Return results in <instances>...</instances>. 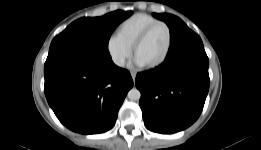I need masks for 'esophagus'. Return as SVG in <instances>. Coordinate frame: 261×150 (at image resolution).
<instances>
[{
	"mask_svg": "<svg viewBox=\"0 0 261 150\" xmlns=\"http://www.w3.org/2000/svg\"><path fill=\"white\" fill-rule=\"evenodd\" d=\"M131 77H132L133 81H135V79H136V72H131Z\"/></svg>",
	"mask_w": 261,
	"mask_h": 150,
	"instance_id": "1",
	"label": "esophagus"
}]
</instances>
